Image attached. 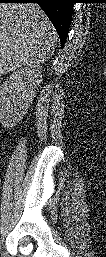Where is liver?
I'll list each match as a JSON object with an SVG mask.
<instances>
[{
	"label": "liver",
	"mask_w": 106,
	"mask_h": 257,
	"mask_svg": "<svg viewBox=\"0 0 106 257\" xmlns=\"http://www.w3.org/2000/svg\"><path fill=\"white\" fill-rule=\"evenodd\" d=\"M56 43V31L37 4L0 5L1 75L22 65L44 63Z\"/></svg>",
	"instance_id": "obj_1"
}]
</instances>
